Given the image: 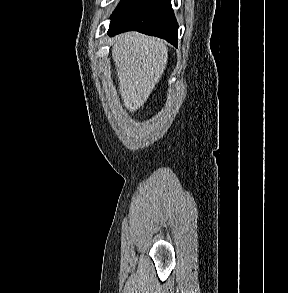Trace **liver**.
<instances>
[{
	"instance_id": "liver-1",
	"label": "liver",
	"mask_w": 288,
	"mask_h": 293,
	"mask_svg": "<svg viewBox=\"0 0 288 293\" xmlns=\"http://www.w3.org/2000/svg\"><path fill=\"white\" fill-rule=\"evenodd\" d=\"M112 46L123 104L135 112L149 98L167 66L168 48L156 37L136 32L117 35Z\"/></svg>"
}]
</instances>
